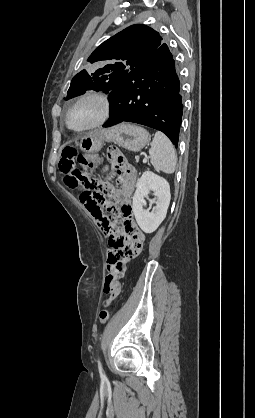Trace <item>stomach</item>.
<instances>
[{
	"instance_id": "obj_1",
	"label": "stomach",
	"mask_w": 255,
	"mask_h": 418,
	"mask_svg": "<svg viewBox=\"0 0 255 418\" xmlns=\"http://www.w3.org/2000/svg\"><path fill=\"white\" fill-rule=\"evenodd\" d=\"M104 141L113 142L130 151H140L150 141V135L141 126L124 123L110 129L96 130L80 141V148L84 152H96Z\"/></svg>"
}]
</instances>
